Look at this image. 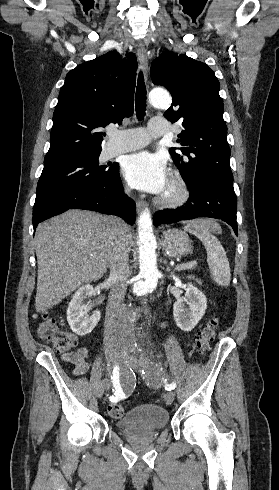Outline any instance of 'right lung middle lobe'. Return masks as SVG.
<instances>
[{"label": "right lung middle lobe", "instance_id": "right-lung-middle-lobe-1", "mask_svg": "<svg viewBox=\"0 0 279 490\" xmlns=\"http://www.w3.org/2000/svg\"><path fill=\"white\" fill-rule=\"evenodd\" d=\"M100 153L45 162L37 191L50 186H70L111 180L117 163L99 164Z\"/></svg>", "mask_w": 279, "mask_h": 490}]
</instances>
